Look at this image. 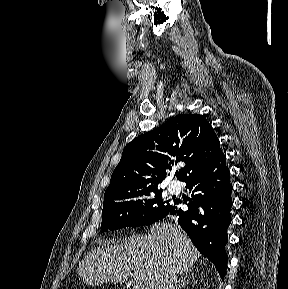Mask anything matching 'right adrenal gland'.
I'll return each mask as SVG.
<instances>
[{"instance_id":"obj_1","label":"right adrenal gland","mask_w":288,"mask_h":289,"mask_svg":"<svg viewBox=\"0 0 288 289\" xmlns=\"http://www.w3.org/2000/svg\"><path fill=\"white\" fill-rule=\"evenodd\" d=\"M190 276H192V279H193V274H190L189 271L185 272L181 276L179 283L176 286V289H181V288H184L185 286H187L189 283V280H190Z\"/></svg>"}]
</instances>
